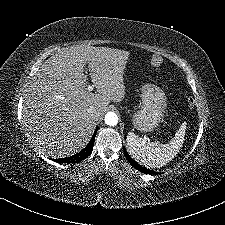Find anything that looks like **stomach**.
<instances>
[{
	"label": "stomach",
	"mask_w": 225,
	"mask_h": 225,
	"mask_svg": "<svg viewBox=\"0 0 225 225\" xmlns=\"http://www.w3.org/2000/svg\"><path fill=\"white\" fill-rule=\"evenodd\" d=\"M165 107L164 93L157 88H147L143 91L140 110L132 115L133 128L143 133L154 131L164 115Z\"/></svg>",
	"instance_id": "1"
}]
</instances>
